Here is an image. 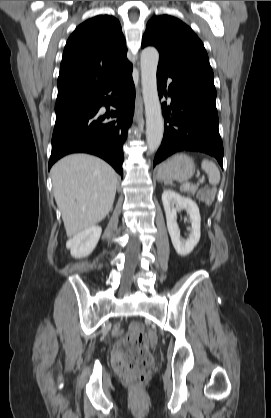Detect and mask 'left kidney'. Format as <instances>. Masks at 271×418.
I'll return each mask as SVG.
<instances>
[{
    "label": "left kidney",
    "mask_w": 271,
    "mask_h": 418,
    "mask_svg": "<svg viewBox=\"0 0 271 418\" xmlns=\"http://www.w3.org/2000/svg\"><path fill=\"white\" fill-rule=\"evenodd\" d=\"M162 202L172 244L180 256H187L200 240L201 217L199 208L192 199L183 197L170 189H166L163 192ZM179 209H185L187 211L191 222V232L189 238L185 241L181 240L180 230L177 225V211Z\"/></svg>",
    "instance_id": "left-kidney-1"
}]
</instances>
